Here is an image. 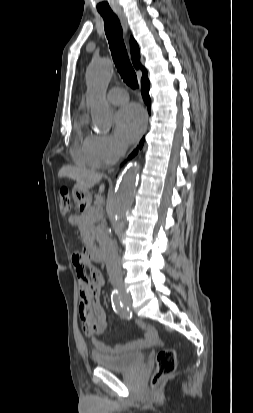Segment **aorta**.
<instances>
[{
	"mask_svg": "<svg viewBox=\"0 0 253 413\" xmlns=\"http://www.w3.org/2000/svg\"><path fill=\"white\" fill-rule=\"evenodd\" d=\"M112 72L113 64L109 59L93 61L86 71L87 104L94 126L102 132H107L113 122V111L105 99ZM137 172V164H132L119 176L114 195L108 206L109 216L113 222L122 217L134 200L138 180Z\"/></svg>",
	"mask_w": 253,
	"mask_h": 413,
	"instance_id": "1",
	"label": "aorta"
}]
</instances>
